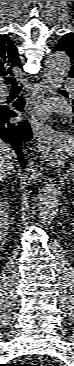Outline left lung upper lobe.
<instances>
[{
    "label": "left lung upper lobe",
    "mask_w": 74,
    "mask_h": 366,
    "mask_svg": "<svg viewBox=\"0 0 74 366\" xmlns=\"http://www.w3.org/2000/svg\"><path fill=\"white\" fill-rule=\"evenodd\" d=\"M54 51H64L70 56L72 66L69 76L74 78V33L65 34L54 48Z\"/></svg>",
    "instance_id": "5c2ea615"
}]
</instances>
